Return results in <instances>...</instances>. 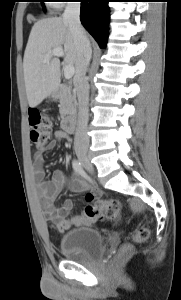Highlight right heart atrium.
<instances>
[{
  "label": "right heart atrium",
  "instance_id": "right-heart-atrium-1",
  "mask_svg": "<svg viewBox=\"0 0 181 300\" xmlns=\"http://www.w3.org/2000/svg\"><path fill=\"white\" fill-rule=\"evenodd\" d=\"M62 4H63L62 0H54L53 6L59 8L61 7Z\"/></svg>",
  "mask_w": 181,
  "mask_h": 300
}]
</instances>
